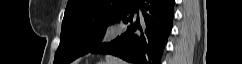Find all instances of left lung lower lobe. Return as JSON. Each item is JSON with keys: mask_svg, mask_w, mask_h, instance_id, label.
<instances>
[{"mask_svg": "<svg viewBox=\"0 0 242 64\" xmlns=\"http://www.w3.org/2000/svg\"><path fill=\"white\" fill-rule=\"evenodd\" d=\"M174 4V0H133L115 21L125 31L88 53L110 54L135 64H160L172 30Z\"/></svg>", "mask_w": 242, "mask_h": 64, "instance_id": "left-lung-lower-lobe-1", "label": "left lung lower lobe"}]
</instances>
